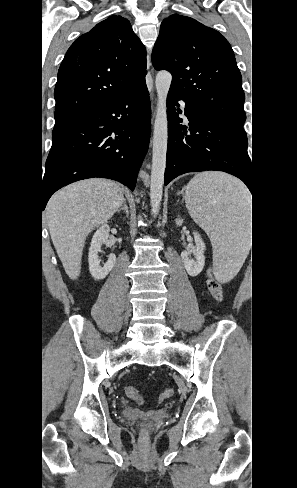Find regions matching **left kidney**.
<instances>
[{"label": "left kidney", "instance_id": "obj_1", "mask_svg": "<svg viewBox=\"0 0 297 488\" xmlns=\"http://www.w3.org/2000/svg\"><path fill=\"white\" fill-rule=\"evenodd\" d=\"M183 223V219H176V224L180 226ZM194 235V240L196 244V249L189 250V251H183L181 253V259L182 262L184 263L185 269L187 273L194 277L200 274L204 268L205 265V256H204V251H205V244L200 237L198 232H193ZM194 255V259H190V255Z\"/></svg>", "mask_w": 297, "mask_h": 488}]
</instances>
